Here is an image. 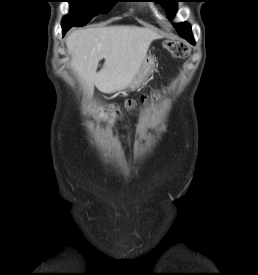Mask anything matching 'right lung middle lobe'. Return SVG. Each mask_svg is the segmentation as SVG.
Returning <instances> with one entry per match:
<instances>
[{"label":"right lung middle lobe","mask_w":258,"mask_h":275,"mask_svg":"<svg viewBox=\"0 0 258 275\" xmlns=\"http://www.w3.org/2000/svg\"><path fill=\"white\" fill-rule=\"evenodd\" d=\"M71 13L62 20V26H84L94 16L107 12L115 0H68Z\"/></svg>","instance_id":"dd1d6c3e"}]
</instances>
